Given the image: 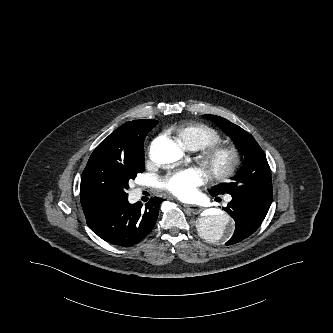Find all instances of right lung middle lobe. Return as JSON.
<instances>
[{
  "label": "right lung middle lobe",
  "instance_id": "dd1d6c3e",
  "mask_svg": "<svg viewBox=\"0 0 333 333\" xmlns=\"http://www.w3.org/2000/svg\"><path fill=\"white\" fill-rule=\"evenodd\" d=\"M144 123L143 138L154 128L158 121L142 120ZM143 147L136 154L125 158L100 156L88 162L81 176L85 192L98 201L116 200L128 197V182L137 173L143 172Z\"/></svg>",
  "mask_w": 333,
  "mask_h": 333
}]
</instances>
